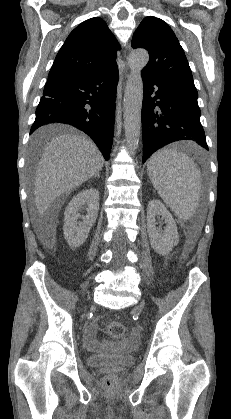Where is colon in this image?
Listing matches in <instances>:
<instances>
[{
	"label": "colon",
	"instance_id": "5ec220e1",
	"mask_svg": "<svg viewBox=\"0 0 231 419\" xmlns=\"http://www.w3.org/2000/svg\"><path fill=\"white\" fill-rule=\"evenodd\" d=\"M107 332L113 339H121L126 333V327L119 321H111L107 326ZM104 383L107 387H112L114 380L112 377H106Z\"/></svg>",
	"mask_w": 231,
	"mask_h": 419
}]
</instances>
